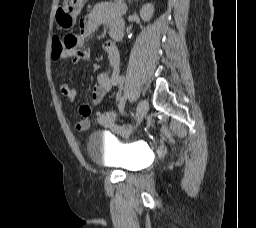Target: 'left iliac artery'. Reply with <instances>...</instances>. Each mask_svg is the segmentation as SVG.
Masks as SVG:
<instances>
[{"label":"left iliac artery","mask_w":256,"mask_h":228,"mask_svg":"<svg viewBox=\"0 0 256 228\" xmlns=\"http://www.w3.org/2000/svg\"><path fill=\"white\" fill-rule=\"evenodd\" d=\"M125 102H126V97L123 96V97L120 99V102H119V110H120V112H122V113H123V111H124Z\"/></svg>","instance_id":"obj_1"}]
</instances>
